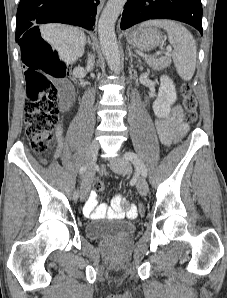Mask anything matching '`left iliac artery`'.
I'll return each mask as SVG.
<instances>
[{
    "mask_svg": "<svg viewBox=\"0 0 227 298\" xmlns=\"http://www.w3.org/2000/svg\"><path fill=\"white\" fill-rule=\"evenodd\" d=\"M125 158L135 165V167L141 172L143 177L147 176V169L143 161L137 154H135L134 152H126Z\"/></svg>",
    "mask_w": 227,
    "mask_h": 298,
    "instance_id": "44dca946",
    "label": "left iliac artery"
}]
</instances>
